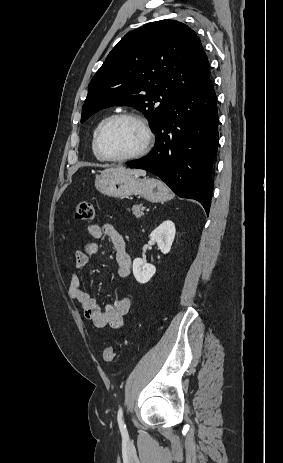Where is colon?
I'll return each mask as SVG.
<instances>
[{"label": "colon", "instance_id": "obj_1", "mask_svg": "<svg viewBox=\"0 0 283 463\" xmlns=\"http://www.w3.org/2000/svg\"><path fill=\"white\" fill-rule=\"evenodd\" d=\"M75 218L80 221L92 220L95 216L94 206L91 202L83 200L78 203L74 211ZM115 349L113 346H108L103 351V360L110 363L114 360Z\"/></svg>", "mask_w": 283, "mask_h": 463}]
</instances>
